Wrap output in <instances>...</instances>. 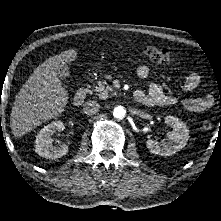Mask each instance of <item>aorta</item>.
Listing matches in <instances>:
<instances>
[{"label":"aorta","mask_w":221,"mask_h":221,"mask_svg":"<svg viewBox=\"0 0 221 221\" xmlns=\"http://www.w3.org/2000/svg\"><path fill=\"white\" fill-rule=\"evenodd\" d=\"M113 116L116 118V119H124L126 117V110L124 107L122 106H117L114 108L113 110Z\"/></svg>","instance_id":"762f6f07"}]
</instances>
